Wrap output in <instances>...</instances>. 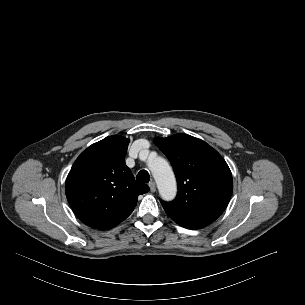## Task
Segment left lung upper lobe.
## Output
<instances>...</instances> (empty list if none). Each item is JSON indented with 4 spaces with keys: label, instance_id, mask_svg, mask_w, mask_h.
I'll return each mask as SVG.
<instances>
[{
    "label": "left lung upper lobe",
    "instance_id": "obj_1",
    "mask_svg": "<svg viewBox=\"0 0 305 305\" xmlns=\"http://www.w3.org/2000/svg\"><path fill=\"white\" fill-rule=\"evenodd\" d=\"M170 161L178 193L161 204L167 214L218 218L226 209L233 191L231 171L223 157L203 140L187 134L155 138Z\"/></svg>",
    "mask_w": 305,
    "mask_h": 305
}]
</instances>
